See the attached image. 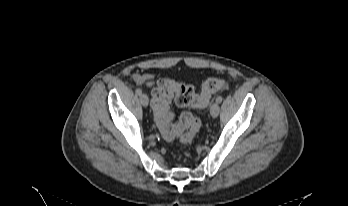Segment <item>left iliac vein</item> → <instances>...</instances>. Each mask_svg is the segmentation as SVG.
Listing matches in <instances>:
<instances>
[{"label": "left iliac vein", "instance_id": "4c4485c4", "mask_svg": "<svg viewBox=\"0 0 348 206\" xmlns=\"http://www.w3.org/2000/svg\"><path fill=\"white\" fill-rule=\"evenodd\" d=\"M219 110H220V108H219L218 102H216V101L213 102L211 104V106H210V114H211V116L213 118H216L218 116V114H219Z\"/></svg>", "mask_w": 348, "mask_h": 206}]
</instances>
